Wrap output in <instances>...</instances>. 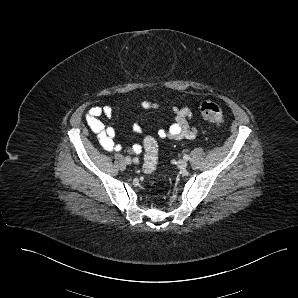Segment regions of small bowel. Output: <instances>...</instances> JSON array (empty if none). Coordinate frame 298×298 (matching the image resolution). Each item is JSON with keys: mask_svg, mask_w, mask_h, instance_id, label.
Masks as SVG:
<instances>
[{"mask_svg": "<svg viewBox=\"0 0 298 298\" xmlns=\"http://www.w3.org/2000/svg\"><path fill=\"white\" fill-rule=\"evenodd\" d=\"M142 109L156 108L157 104L150 101H142L140 103ZM174 122L167 128H159L157 135L160 139H194L197 135V130L190 124L192 112L190 109L183 107H172ZM113 109L108 106H93L89 109L85 116V121L88 127L94 132L102 148L108 152H118L122 149L120 143L115 142V130L112 127H106L100 120L101 116L111 117ZM132 130L135 133H140L142 128L139 123H134ZM142 147L140 144L131 146L130 151L140 153Z\"/></svg>", "mask_w": 298, "mask_h": 298, "instance_id": "c3829d8e", "label": "small bowel"}]
</instances>
